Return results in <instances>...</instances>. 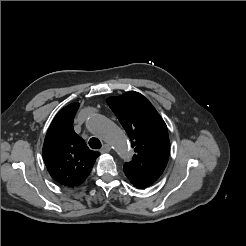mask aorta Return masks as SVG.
I'll list each match as a JSON object with an SVG mask.
<instances>
[{"label": "aorta", "instance_id": "obj_1", "mask_svg": "<svg viewBox=\"0 0 246 246\" xmlns=\"http://www.w3.org/2000/svg\"><path fill=\"white\" fill-rule=\"evenodd\" d=\"M87 128L108 142L123 159L132 155V150L123 131L101 114H92L86 121Z\"/></svg>", "mask_w": 246, "mask_h": 246}]
</instances>
